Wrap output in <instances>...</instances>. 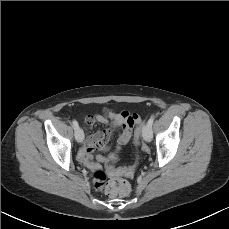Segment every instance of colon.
Wrapping results in <instances>:
<instances>
[{
    "label": "colon",
    "instance_id": "1",
    "mask_svg": "<svg viewBox=\"0 0 229 229\" xmlns=\"http://www.w3.org/2000/svg\"><path fill=\"white\" fill-rule=\"evenodd\" d=\"M135 129V142L139 144L141 142V125L139 117H136L132 122ZM133 169H129L127 174L131 175ZM93 182L96 187L102 188L105 187L106 193L114 199H123L127 197L131 192V186L128 181L123 178H114L110 181H107V175L103 170H96L94 173Z\"/></svg>",
    "mask_w": 229,
    "mask_h": 229
}]
</instances>
